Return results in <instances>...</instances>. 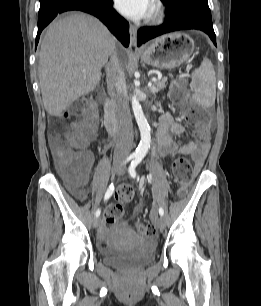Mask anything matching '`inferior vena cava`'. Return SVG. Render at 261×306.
<instances>
[{
  "instance_id": "602c4592",
  "label": "inferior vena cava",
  "mask_w": 261,
  "mask_h": 306,
  "mask_svg": "<svg viewBox=\"0 0 261 306\" xmlns=\"http://www.w3.org/2000/svg\"><path fill=\"white\" fill-rule=\"evenodd\" d=\"M111 72L107 76V87L111 101L115 107L119 122L120 141L116 145V153L127 156L133 148V125L129 109L124 71L118 61L116 53L110 54Z\"/></svg>"
}]
</instances>
